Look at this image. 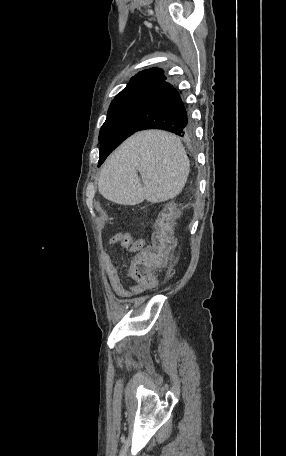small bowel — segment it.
Wrapping results in <instances>:
<instances>
[{"instance_id":"obj_1","label":"small bowel","mask_w":286,"mask_h":456,"mask_svg":"<svg viewBox=\"0 0 286 456\" xmlns=\"http://www.w3.org/2000/svg\"><path fill=\"white\" fill-rule=\"evenodd\" d=\"M111 245H121L129 251H138L139 246H144V240L137 238L133 239L128 233H118L110 240ZM103 267L109 280L111 289L120 299H131L135 295L141 293L135 285H131L129 289L125 288L118 269L113 263L111 254L104 252L103 254Z\"/></svg>"}]
</instances>
